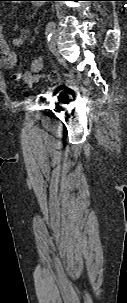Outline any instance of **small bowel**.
<instances>
[{
  "instance_id": "small-bowel-1",
  "label": "small bowel",
  "mask_w": 127,
  "mask_h": 303,
  "mask_svg": "<svg viewBox=\"0 0 127 303\" xmlns=\"http://www.w3.org/2000/svg\"><path fill=\"white\" fill-rule=\"evenodd\" d=\"M23 42H24V37L20 36L13 40L12 45L15 47H19L23 44ZM0 57H1V64L4 68L12 69L17 64V60H18L17 53L12 50L11 44L5 39L1 26H0ZM25 81L29 83L36 81V75L31 72L26 73Z\"/></svg>"
}]
</instances>
